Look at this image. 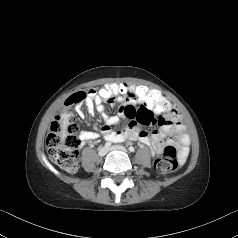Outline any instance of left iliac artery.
Returning a JSON list of instances; mask_svg holds the SVG:
<instances>
[{
  "mask_svg": "<svg viewBox=\"0 0 238 238\" xmlns=\"http://www.w3.org/2000/svg\"><path fill=\"white\" fill-rule=\"evenodd\" d=\"M128 149H129L130 152H134L135 151L134 147H132V146H130Z\"/></svg>",
  "mask_w": 238,
  "mask_h": 238,
  "instance_id": "left-iliac-artery-1",
  "label": "left iliac artery"
}]
</instances>
